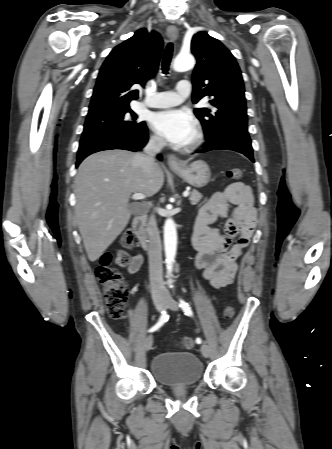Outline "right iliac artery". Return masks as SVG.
Masks as SVG:
<instances>
[{
	"mask_svg": "<svg viewBox=\"0 0 332 449\" xmlns=\"http://www.w3.org/2000/svg\"><path fill=\"white\" fill-rule=\"evenodd\" d=\"M168 320V314L166 310H163L158 322L149 329V332H154L158 330L166 321Z\"/></svg>",
	"mask_w": 332,
	"mask_h": 449,
	"instance_id": "obj_1",
	"label": "right iliac artery"
}]
</instances>
